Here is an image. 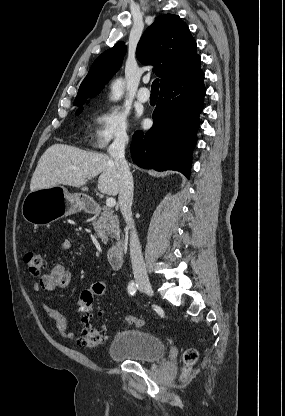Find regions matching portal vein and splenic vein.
Wrapping results in <instances>:
<instances>
[{
    "instance_id": "portal-vein-and-splenic-vein-1",
    "label": "portal vein and splenic vein",
    "mask_w": 285,
    "mask_h": 416,
    "mask_svg": "<svg viewBox=\"0 0 285 416\" xmlns=\"http://www.w3.org/2000/svg\"><path fill=\"white\" fill-rule=\"evenodd\" d=\"M85 190H87V188H85ZM106 206H108V208H114V206H116L114 198H107Z\"/></svg>"
}]
</instances>
